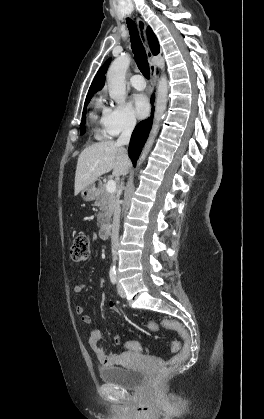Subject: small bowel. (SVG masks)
Listing matches in <instances>:
<instances>
[{
  "label": "small bowel",
  "instance_id": "c3829d8e",
  "mask_svg": "<svg viewBox=\"0 0 264 419\" xmlns=\"http://www.w3.org/2000/svg\"><path fill=\"white\" fill-rule=\"evenodd\" d=\"M86 290V284L85 283H78L74 287V291L76 293H83ZM111 307H113V304H111ZM76 312L80 315L81 321L84 324H91L92 318L89 314L85 313V309L81 305L76 306ZM102 338V332L100 329H91L89 332V346L94 352L95 356L97 357L100 364L104 367H111L121 364L122 358L126 356L127 354L133 352L136 354L142 353V351H139L137 349H133L131 346L134 343L133 341L127 342L125 344L126 352H124L121 355L117 354H106L103 348L100 346L99 341ZM113 342L115 344H119L121 342V336L119 333H116L113 335Z\"/></svg>",
  "mask_w": 264,
  "mask_h": 419
}]
</instances>
